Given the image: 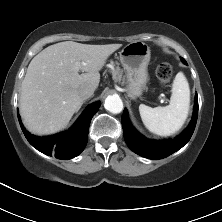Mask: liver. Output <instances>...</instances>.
<instances>
[{
	"instance_id": "6515ba94",
	"label": "liver",
	"mask_w": 222,
	"mask_h": 222,
	"mask_svg": "<svg viewBox=\"0 0 222 222\" xmlns=\"http://www.w3.org/2000/svg\"><path fill=\"white\" fill-rule=\"evenodd\" d=\"M121 46L65 41L37 54L21 85L19 108L26 128L37 135H49L65 128L83 104L80 87L97 88L99 71ZM80 71L85 73L79 74Z\"/></svg>"
}]
</instances>
